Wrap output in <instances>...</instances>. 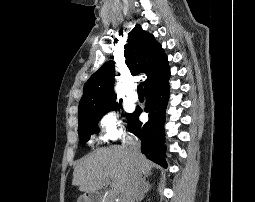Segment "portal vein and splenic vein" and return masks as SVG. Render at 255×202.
I'll return each instance as SVG.
<instances>
[{"instance_id": "obj_1", "label": "portal vein and splenic vein", "mask_w": 255, "mask_h": 202, "mask_svg": "<svg viewBox=\"0 0 255 202\" xmlns=\"http://www.w3.org/2000/svg\"><path fill=\"white\" fill-rule=\"evenodd\" d=\"M107 183H109V182H107ZM115 193L113 192V191H111V195H114Z\"/></svg>"}]
</instances>
